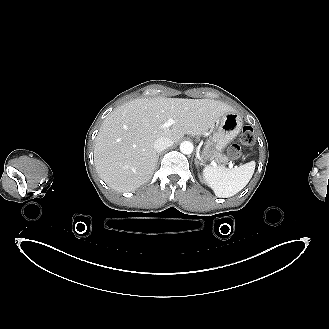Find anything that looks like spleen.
I'll use <instances>...</instances> for the list:
<instances>
[{
  "instance_id": "spleen-1",
  "label": "spleen",
  "mask_w": 329,
  "mask_h": 329,
  "mask_svg": "<svg viewBox=\"0 0 329 329\" xmlns=\"http://www.w3.org/2000/svg\"><path fill=\"white\" fill-rule=\"evenodd\" d=\"M255 170V161L233 169L206 166L203 176L217 197L227 198L240 192L250 181Z\"/></svg>"
}]
</instances>
